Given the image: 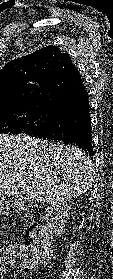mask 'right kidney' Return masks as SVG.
<instances>
[{
	"instance_id": "right-kidney-1",
	"label": "right kidney",
	"mask_w": 113,
	"mask_h": 279,
	"mask_svg": "<svg viewBox=\"0 0 113 279\" xmlns=\"http://www.w3.org/2000/svg\"><path fill=\"white\" fill-rule=\"evenodd\" d=\"M71 206L63 204L52 205L45 209L43 220L46 221L44 229L50 234L59 236L64 233V229L69 218Z\"/></svg>"
}]
</instances>
